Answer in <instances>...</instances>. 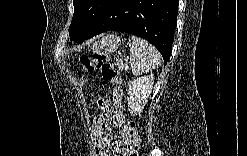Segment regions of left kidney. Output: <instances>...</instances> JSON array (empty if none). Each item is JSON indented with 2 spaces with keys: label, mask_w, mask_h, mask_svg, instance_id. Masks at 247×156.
Returning a JSON list of instances; mask_svg holds the SVG:
<instances>
[{
  "label": "left kidney",
  "mask_w": 247,
  "mask_h": 156,
  "mask_svg": "<svg viewBox=\"0 0 247 156\" xmlns=\"http://www.w3.org/2000/svg\"><path fill=\"white\" fill-rule=\"evenodd\" d=\"M154 84L153 74L138 77L129 82L128 110L131 115H138L144 109Z\"/></svg>",
  "instance_id": "5707ae66"
}]
</instances>
